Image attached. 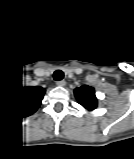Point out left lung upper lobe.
<instances>
[{"mask_svg":"<svg viewBox=\"0 0 134 159\" xmlns=\"http://www.w3.org/2000/svg\"><path fill=\"white\" fill-rule=\"evenodd\" d=\"M76 98L84 108L91 111L97 107V99L93 87L83 85L74 91Z\"/></svg>","mask_w":134,"mask_h":159,"instance_id":"5c2ea615","label":"left lung upper lobe"}]
</instances>
